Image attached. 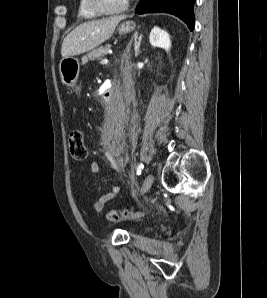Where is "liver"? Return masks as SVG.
<instances>
[{
  "label": "liver",
  "instance_id": "6515ba94",
  "mask_svg": "<svg viewBox=\"0 0 267 298\" xmlns=\"http://www.w3.org/2000/svg\"><path fill=\"white\" fill-rule=\"evenodd\" d=\"M124 16L92 20L78 25L63 40V58L80 55L90 51L109 39Z\"/></svg>",
  "mask_w": 267,
  "mask_h": 298
}]
</instances>
